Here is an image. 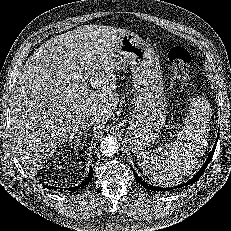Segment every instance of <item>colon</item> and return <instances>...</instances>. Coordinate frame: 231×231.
<instances>
[{"mask_svg": "<svg viewBox=\"0 0 231 231\" xmlns=\"http://www.w3.org/2000/svg\"><path fill=\"white\" fill-rule=\"evenodd\" d=\"M168 58L172 64L176 86L183 91L189 79L191 55L186 48L174 46L169 50Z\"/></svg>", "mask_w": 231, "mask_h": 231, "instance_id": "1", "label": "colon"}]
</instances>
